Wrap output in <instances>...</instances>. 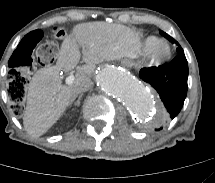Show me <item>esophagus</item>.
I'll return each instance as SVG.
<instances>
[{
  "label": "esophagus",
  "mask_w": 215,
  "mask_h": 183,
  "mask_svg": "<svg viewBox=\"0 0 215 183\" xmlns=\"http://www.w3.org/2000/svg\"><path fill=\"white\" fill-rule=\"evenodd\" d=\"M123 64L126 66H129L130 63H129V61L125 60V61H123Z\"/></svg>",
  "instance_id": "esophagus-1"
}]
</instances>
